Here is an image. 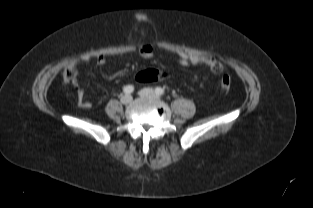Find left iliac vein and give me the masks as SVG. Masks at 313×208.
Segmentation results:
<instances>
[{"label":"left iliac vein","mask_w":313,"mask_h":208,"mask_svg":"<svg viewBox=\"0 0 313 208\" xmlns=\"http://www.w3.org/2000/svg\"><path fill=\"white\" fill-rule=\"evenodd\" d=\"M140 96L143 98H150V99H159L160 96L156 94V92L150 88L142 89L139 92Z\"/></svg>","instance_id":"4c4485c4"}]
</instances>
